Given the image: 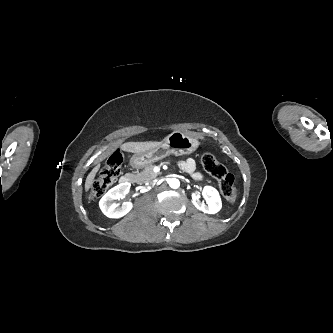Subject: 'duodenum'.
<instances>
[{"instance_id":"1","label":"duodenum","mask_w":333,"mask_h":333,"mask_svg":"<svg viewBox=\"0 0 333 333\" xmlns=\"http://www.w3.org/2000/svg\"><path fill=\"white\" fill-rule=\"evenodd\" d=\"M134 180V175L131 174V173H127L125 175H123L121 178H120V182L125 184V183H130Z\"/></svg>"}]
</instances>
